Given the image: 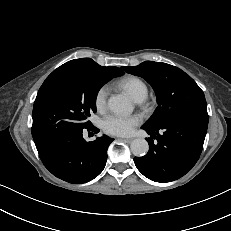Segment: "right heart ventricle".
<instances>
[{"label": "right heart ventricle", "mask_w": 231, "mask_h": 231, "mask_svg": "<svg viewBox=\"0 0 231 231\" xmlns=\"http://www.w3.org/2000/svg\"><path fill=\"white\" fill-rule=\"evenodd\" d=\"M117 85L126 90L136 101H143L148 95V86L137 76H126L117 82Z\"/></svg>", "instance_id": "e07e8e85"}]
</instances>
